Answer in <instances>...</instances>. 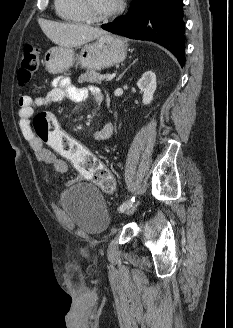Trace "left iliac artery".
Here are the masks:
<instances>
[{
	"instance_id": "44dca946",
	"label": "left iliac artery",
	"mask_w": 233,
	"mask_h": 328,
	"mask_svg": "<svg viewBox=\"0 0 233 328\" xmlns=\"http://www.w3.org/2000/svg\"><path fill=\"white\" fill-rule=\"evenodd\" d=\"M134 201H135V197L133 196L130 200H128L127 202H125L122 205H120L119 208H118V210L120 212L125 211L126 209H128L133 204Z\"/></svg>"
}]
</instances>
